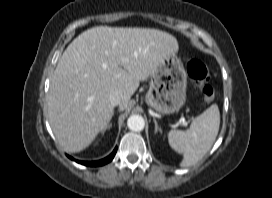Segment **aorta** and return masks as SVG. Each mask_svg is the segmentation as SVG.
I'll use <instances>...</instances> for the list:
<instances>
[{
  "mask_svg": "<svg viewBox=\"0 0 272 198\" xmlns=\"http://www.w3.org/2000/svg\"><path fill=\"white\" fill-rule=\"evenodd\" d=\"M127 126L132 131H142L145 126L144 118L140 115H131L127 120Z\"/></svg>",
  "mask_w": 272,
  "mask_h": 198,
  "instance_id": "obj_1",
  "label": "aorta"
}]
</instances>
